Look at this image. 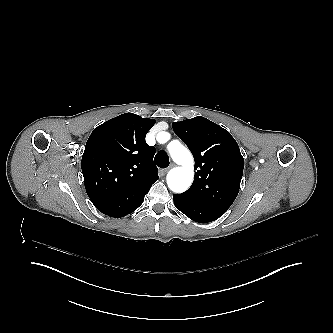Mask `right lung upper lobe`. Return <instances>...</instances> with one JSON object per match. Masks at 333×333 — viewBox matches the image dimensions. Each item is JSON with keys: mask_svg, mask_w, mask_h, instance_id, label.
<instances>
[{"mask_svg": "<svg viewBox=\"0 0 333 333\" xmlns=\"http://www.w3.org/2000/svg\"><path fill=\"white\" fill-rule=\"evenodd\" d=\"M154 124V119L125 113L99 125L86 143L82 169L94 160L103 159L118 178L158 179V169L153 162L155 148L145 142V136Z\"/></svg>", "mask_w": 333, "mask_h": 333, "instance_id": "obj_1", "label": "right lung upper lobe"}]
</instances>
